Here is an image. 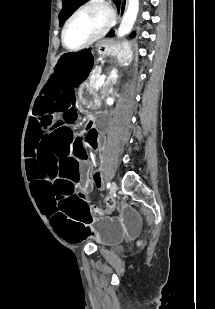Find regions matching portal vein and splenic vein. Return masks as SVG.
<instances>
[{
	"label": "portal vein and splenic vein",
	"mask_w": 215,
	"mask_h": 309,
	"mask_svg": "<svg viewBox=\"0 0 215 309\" xmlns=\"http://www.w3.org/2000/svg\"><path fill=\"white\" fill-rule=\"evenodd\" d=\"M105 78H106V74H103V76H100L97 84L98 86H101V84H103V82H105Z\"/></svg>",
	"instance_id": "obj_1"
}]
</instances>
